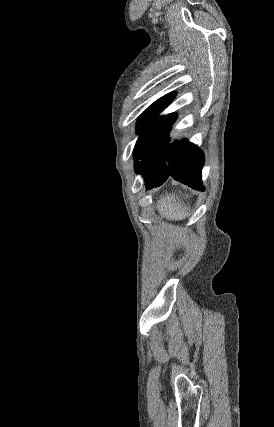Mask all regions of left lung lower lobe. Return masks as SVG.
<instances>
[{"instance_id": "1", "label": "left lung lower lobe", "mask_w": 274, "mask_h": 427, "mask_svg": "<svg viewBox=\"0 0 274 427\" xmlns=\"http://www.w3.org/2000/svg\"><path fill=\"white\" fill-rule=\"evenodd\" d=\"M175 118V114L164 116L149 129L140 144L136 161H142L135 163V171L143 174L149 189L162 185L172 176L194 189L204 190L201 181L203 152L185 139L167 143Z\"/></svg>"}]
</instances>
